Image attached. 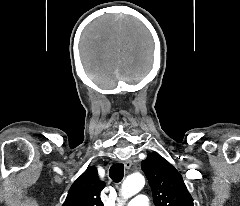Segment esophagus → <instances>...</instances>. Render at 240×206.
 <instances>
[{
  "label": "esophagus",
  "mask_w": 240,
  "mask_h": 206,
  "mask_svg": "<svg viewBox=\"0 0 240 206\" xmlns=\"http://www.w3.org/2000/svg\"><path fill=\"white\" fill-rule=\"evenodd\" d=\"M123 164L127 169H129L132 165V162H131V160H125V161H123Z\"/></svg>",
  "instance_id": "34e87169"
}]
</instances>
